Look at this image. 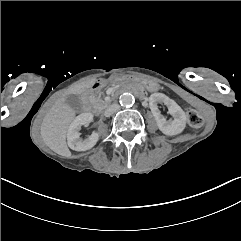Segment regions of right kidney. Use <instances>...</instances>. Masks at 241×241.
Listing matches in <instances>:
<instances>
[{"mask_svg": "<svg viewBox=\"0 0 241 241\" xmlns=\"http://www.w3.org/2000/svg\"><path fill=\"white\" fill-rule=\"evenodd\" d=\"M93 121V115L91 113H82L77 116L71 123L68 134V146L70 149L83 152L93 148L99 140L98 132H93L88 139H81V127L83 125L88 126Z\"/></svg>", "mask_w": 241, "mask_h": 241, "instance_id": "obj_1", "label": "right kidney"}]
</instances>
